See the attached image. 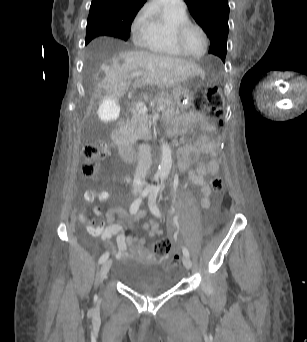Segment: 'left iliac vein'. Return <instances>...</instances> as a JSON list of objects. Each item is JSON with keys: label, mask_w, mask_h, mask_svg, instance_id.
<instances>
[{"label": "left iliac vein", "mask_w": 307, "mask_h": 342, "mask_svg": "<svg viewBox=\"0 0 307 342\" xmlns=\"http://www.w3.org/2000/svg\"><path fill=\"white\" fill-rule=\"evenodd\" d=\"M182 262L185 268L191 269L192 268V262L188 256L183 255L182 256Z\"/></svg>", "instance_id": "4c4485c4"}]
</instances>
